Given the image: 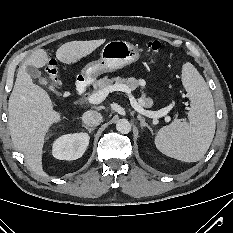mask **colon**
<instances>
[{
	"label": "colon",
	"instance_id": "obj_1",
	"mask_svg": "<svg viewBox=\"0 0 233 233\" xmlns=\"http://www.w3.org/2000/svg\"><path fill=\"white\" fill-rule=\"evenodd\" d=\"M161 46H162V44L158 40H150V41L146 42V48L152 52H158L161 49ZM46 76L51 83H53L54 85H58V80L56 77L55 69H53V68L49 69L46 72Z\"/></svg>",
	"mask_w": 233,
	"mask_h": 233
}]
</instances>
